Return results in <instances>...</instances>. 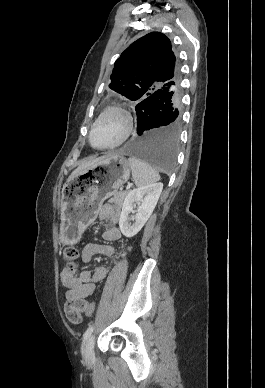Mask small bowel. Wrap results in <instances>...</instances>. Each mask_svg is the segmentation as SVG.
<instances>
[{"label":"small bowel","mask_w":265,"mask_h":388,"mask_svg":"<svg viewBox=\"0 0 265 388\" xmlns=\"http://www.w3.org/2000/svg\"><path fill=\"white\" fill-rule=\"evenodd\" d=\"M120 214V208L110 204H105L99 209L98 218L109 224L103 232V239L105 241L116 242L121 238V232L117 227ZM117 254L118 249L112 245L89 243L81 251V262H90L96 255L111 257ZM108 272V268L103 266L94 269H84L78 274H76V266L73 269L65 267L62 270L60 274L61 281L67 289L64 312L70 322L77 324L81 321L84 307L88 303L86 299L94 294L96 283L105 279Z\"/></svg>","instance_id":"obj_1"}]
</instances>
